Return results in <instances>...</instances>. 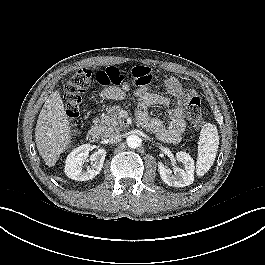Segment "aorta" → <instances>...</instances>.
Returning a JSON list of instances; mask_svg holds the SVG:
<instances>
[{
	"instance_id": "1",
	"label": "aorta",
	"mask_w": 265,
	"mask_h": 265,
	"mask_svg": "<svg viewBox=\"0 0 265 265\" xmlns=\"http://www.w3.org/2000/svg\"><path fill=\"white\" fill-rule=\"evenodd\" d=\"M129 148L136 149L141 144V139L137 135H130L126 139Z\"/></svg>"
}]
</instances>
